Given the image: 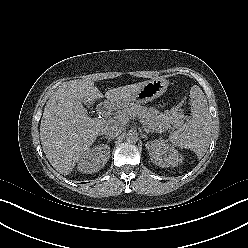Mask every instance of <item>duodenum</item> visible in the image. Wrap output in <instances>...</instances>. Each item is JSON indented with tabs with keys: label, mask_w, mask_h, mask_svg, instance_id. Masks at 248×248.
<instances>
[{
	"label": "duodenum",
	"mask_w": 248,
	"mask_h": 248,
	"mask_svg": "<svg viewBox=\"0 0 248 248\" xmlns=\"http://www.w3.org/2000/svg\"><path fill=\"white\" fill-rule=\"evenodd\" d=\"M112 108V105L108 102L102 103L99 107H98V114L99 115H105L106 113H108Z\"/></svg>",
	"instance_id": "1"
}]
</instances>
